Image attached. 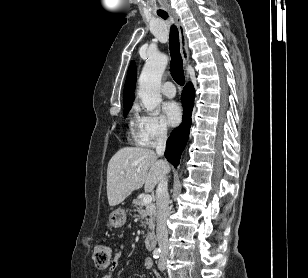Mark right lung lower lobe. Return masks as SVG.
Wrapping results in <instances>:
<instances>
[{"mask_svg": "<svg viewBox=\"0 0 308 278\" xmlns=\"http://www.w3.org/2000/svg\"><path fill=\"white\" fill-rule=\"evenodd\" d=\"M195 98V90L192 84H187L182 92V105L184 108L183 122L174 129L172 134L167 140L165 157L167 160L177 167L180 160V155L186 146L188 140L190 126H191V114L193 109V103Z\"/></svg>", "mask_w": 308, "mask_h": 278, "instance_id": "obj_1", "label": "right lung lower lobe"}]
</instances>
